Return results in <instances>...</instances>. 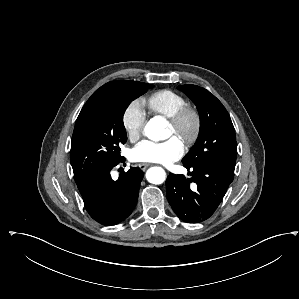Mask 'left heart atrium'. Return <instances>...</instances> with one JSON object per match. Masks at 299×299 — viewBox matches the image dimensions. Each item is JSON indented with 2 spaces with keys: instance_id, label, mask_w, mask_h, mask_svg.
Wrapping results in <instances>:
<instances>
[{
  "instance_id": "left-heart-atrium-1",
  "label": "left heart atrium",
  "mask_w": 299,
  "mask_h": 299,
  "mask_svg": "<svg viewBox=\"0 0 299 299\" xmlns=\"http://www.w3.org/2000/svg\"><path fill=\"white\" fill-rule=\"evenodd\" d=\"M184 154L182 142L175 136L163 142L142 140L130 151V159L135 162L161 163L169 165Z\"/></svg>"
}]
</instances>
